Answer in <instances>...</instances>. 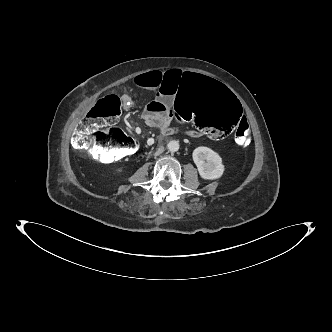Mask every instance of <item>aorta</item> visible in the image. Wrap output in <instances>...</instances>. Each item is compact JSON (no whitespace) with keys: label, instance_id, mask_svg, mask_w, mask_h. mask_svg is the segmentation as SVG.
<instances>
[{"label":"aorta","instance_id":"1","mask_svg":"<svg viewBox=\"0 0 332 332\" xmlns=\"http://www.w3.org/2000/svg\"><path fill=\"white\" fill-rule=\"evenodd\" d=\"M167 149L170 152H176L179 150V143L178 141L172 140L167 144Z\"/></svg>","mask_w":332,"mask_h":332}]
</instances>
